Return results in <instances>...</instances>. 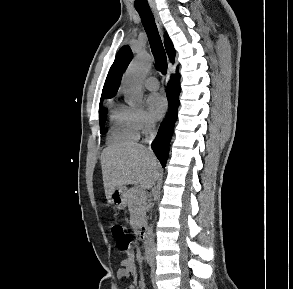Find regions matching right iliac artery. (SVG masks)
<instances>
[{
	"mask_svg": "<svg viewBox=\"0 0 293 289\" xmlns=\"http://www.w3.org/2000/svg\"><path fill=\"white\" fill-rule=\"evenodd\" d=\"M146 261H147V263H150V260L149 259H147Z\"/></svg>",
	"mask_w": 293,
	"mask_h": 289,
	"instance_id": "obj_1",
	"label": "right iliac artery"
}]
</instances>
